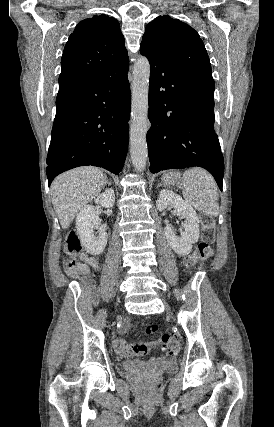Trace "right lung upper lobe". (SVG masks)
<instances>
[{
	"instance_id": "cb5924a9",
	"label": "right lung upper lobe",
	"mask_w": 274,
	"mask_h": 427,
	"mask_svg": "<svg viewBox=\"0 0 274 427\" xmlns=\"http://www.w3.org/2000/svg\"><path fill=\"white\" fill-rule=\"evenodd\" d=\"M127 64L118 21L104 14L84 19L64 48L57 97L94 84Z\"/></svg>"
}]
</instances>
